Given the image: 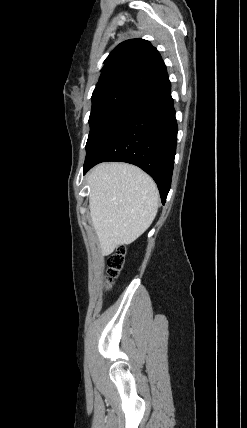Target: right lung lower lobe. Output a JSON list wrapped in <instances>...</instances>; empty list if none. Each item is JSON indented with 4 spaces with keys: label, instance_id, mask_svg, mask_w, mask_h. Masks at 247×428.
<instances>
[{
    "label": "right lung lower lobe",
    "instance_id": "98d812e1",
    "mask_svg": "<svg viewBox=\"0 0 247 428\" xmlns=\"http://www.w3.org/2000/svg\"><path fill=\"white\" fill-rule=\"evenodd\" d=\"M177 122L168 75L131 100L87 150L84 174L104 161L137 165L157 183L162 203L170 190Z\"/></svg>",
    "mask_w": 247,
    "mask_h": 428
}]
</instances>
